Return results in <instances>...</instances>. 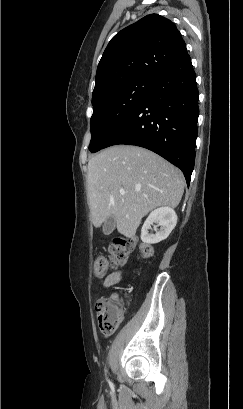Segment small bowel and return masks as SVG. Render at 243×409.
<instances>
[{"label":"small bowel","mask_w":243,"mask_h":409,"mask_svg":"<svg viewBox=\"0 0 243 409\" xmlns=\"http://www.w3.org/2000/svg\"><path fill=\"white\" fill-rule=\"evenodd\" d=\"M124 275V271L122 270H115L112 273H110L104 280L103 286L105 288L112 287L118 283L121 282L122 278Z\"/></svg>","instance_id":"obj_1"}]
</instances>
